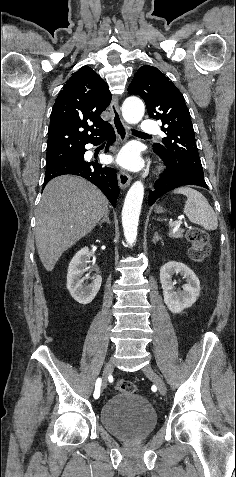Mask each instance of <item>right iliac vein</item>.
Returning a JSON list of instances; mask_svg holds the SVG:
<instances>
[{"label":"right iliac vein","mask_w":236,"mask_h":477,"mask_svg":"<svg viewBox=\"0 0 236 477\" xmlns=\"http://www.w3.org/2000/svg\"><path fill=\"white\" fill-rule=\"evenodd\" d=\"M113 371V363L111 360H109L105 367H104V370H103V375H102V385H101V390H106V385H107V380H108V376L109 374ZM100 395L101 397H104V393L103 392H100Z\"/></svg>","instance_id":"63e3f726"}]
</instances>
